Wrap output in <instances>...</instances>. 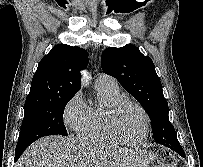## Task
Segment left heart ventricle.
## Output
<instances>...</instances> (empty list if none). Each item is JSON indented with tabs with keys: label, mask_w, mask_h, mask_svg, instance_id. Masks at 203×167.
Instances as JSON below:
<instances>
[{
	"label": "left heart ventricle",
	"mask_w": 203,
	"mask_h": 167,
	"mask_svg": "<svg viewBox=\"0 0 203 167\" xmlns=\"http://www.w3.org/2000/svg\"><path fill=\"white\" fill-rule=\"evenodd\" d=\"M116 129L126 140L139 139L144 132V118L140 110L133 105H125L117 116Z\"/></svg>",
	"instance_id": "b2bd125f"
}]
</instances>
